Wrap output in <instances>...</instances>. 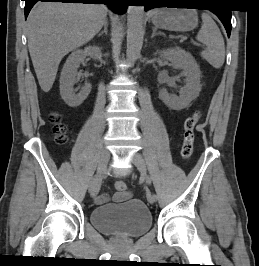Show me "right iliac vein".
<instances>
[{
    "label": "right iliac vein",
    "mask_w": 259,
    "mask_h": 266,
    "mask_svg": "<svg viewBox=\"0 0 259 266\" xmlns=\"http://www.w3.org/2000/svg\"><path fill=\"white\" fill-rule=\"evenodd\" d=\"M109 159H110L109 151L105 148L102 149V151L100 153L99 161H98L96 177H95V180L93 181V182H95V185L93 186L92 189H89L90 195L92 197H95L99 192L100 184H101L102 178L104 176V173L106 171Z\"/></svg>",
    "instance_id": "1"
}]
</instances>
